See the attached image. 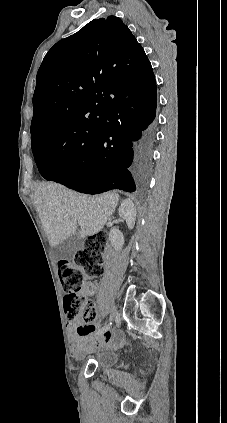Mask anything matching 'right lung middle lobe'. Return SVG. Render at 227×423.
<instances>
[{"label": "right lung middle lobe", "instance_id": "1", "mask_svg": "<svg viewBox=\"0 0 227 423\" xmlns=\"http://www.w3.org/2000/svg\"><path fill=\"white\" fill-rule=\"evenodd\" d=\"M94 146L95 139L75 143L60 136H49L33 142L32 152L42 177L53 181L70 174Z\"/></svg>", "mask_w": 227, "mask_h": 423}]
</instances>
